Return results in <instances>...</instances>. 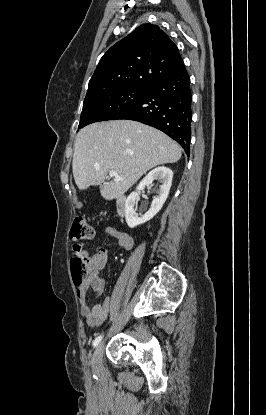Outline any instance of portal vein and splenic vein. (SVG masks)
Wrapping results in <instances>:
<instances>
[{
  "mask_svg": "<svg viewBox=\"0 0 266 415\" xmlns=\"http://www.w3.org/2000/svg\"><path fill=\"white\" fill-rule=\"evenodd\" d=\"M109 176H110V177H112V178H115L116 180H123V179H124L123 177H120V176L117 174V172H116V171H114V170H110V171H109Z\"/></svg>",
  "mask_w": 266,
  "mask_h": 415,
  "instance_id": "portal-vein-and-splenic-vein-1",
  "label": "portal vein and splenic vein"
}]
</instances>
